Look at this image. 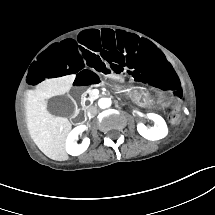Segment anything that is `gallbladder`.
Masks as SVG:
<instances>
[{"mask_svg": "<svg viewBox=\"0 0 215 215\" xmlns=\"http://www.w3.org/2000/svg\"><path fill=\"white\" fill-rule=\"evenodd\" d=\"M48 111L55 116L72 117L75 113L76 105L74 101L66 96H54L48 100Z\"/></svg>", "mask_w": 215, "mask_h": 215, "instance_id": "gallbladder-1", "label": "gallbladder"}]
</instances>
